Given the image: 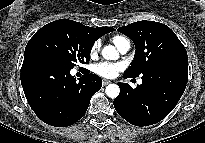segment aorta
<instances>
[{"label": "aorta", "mask_w": 205, "mask_h": 143, "mask_svg": "<svg viewBox=\"0 0 205 143\" xmlns=\"http://www.w3.org/2000/svg\"><path fill=\"white\" fill-rule=\"evenodd\" d=\"M102 56L106 60H114L117 59L118 53L114 46L108 45L102 49ZM108 97L114 99L118 97L120 93L119 86L116 84H109L105 90Z\"/></svg>", "instance_id": "aorta-1"}]
</instances>
